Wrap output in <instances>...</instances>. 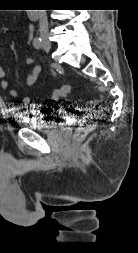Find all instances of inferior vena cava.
<instances>
[{"label":"inferior vena cava","instance_id":"obj_1","mask_svg":"<svg viewBox=\"0 0 138 253\" xmlns=\"http://www.w3.org/2000/svg\"><path fill=\"white\" fill-rule=\"evenodd\" d=\"M39 32L42 39L48 38V21L46 10H39Z\"/></svg>","mask_w":138,"mask_h":253}]
</instances>
